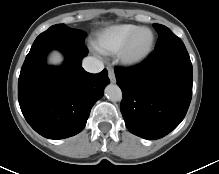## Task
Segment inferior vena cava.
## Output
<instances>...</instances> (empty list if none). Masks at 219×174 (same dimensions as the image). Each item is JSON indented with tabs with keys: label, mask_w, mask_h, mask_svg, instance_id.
<instances>
[{
	"label": "inferior vena cava",
	"mask_w": 219,
	"mask_h": 174,
	"mask_svg": "<svg viewBox=\"0 0 219 174\" xmlns=\"http://www.w3.org/2000/svg\"><path fill=\"white\" fill-rule=\"evenodd\" d=\"M82 66L87 72L90 73H99L104 68L103 63L94 57L84 58L82 62Z\"/></svg>",
	"instance_id": "1"
}]
</instances>
